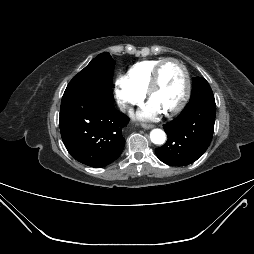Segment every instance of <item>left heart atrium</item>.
<instances>
[{"label": "left heart atrium", "instance_id": "39dd6f15", "mask_svg": "<svg viewBox=\"0 0 254 254\" xmlns=\"http://www.w3.org/2000/svg\"><path fill=\"white\" fill-rule=\"evenodd\" d=\"M162 113L163 111L150 101L143 106V108L138 112L137 116L141 119L154 120L157 119Z\"/></svg>", "mask_w": 254, "mask_h": 254}]
</instances>
